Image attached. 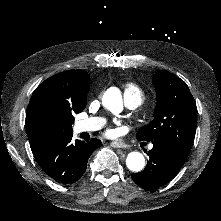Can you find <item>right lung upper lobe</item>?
<instances>
[{"label": "right lung upper lobe", "instance_id": "right-lung-upper-lobe-1", "mask_svg": "<svg viewBox=\"0 0 221 221\" xmlns=\"http://www.w3.org/2000/svg\"><path fill=\"white\" fill-rule=\"evenodd\" d=\"M90 77L84 70H68L46 79L34 91L26 112V132L32 152L51 144L45 143L34 129V107L39 102H50L80 113L87 103Z\"/></svg>", "mask_w": 221, "mask_h": 221}]
</instances>
